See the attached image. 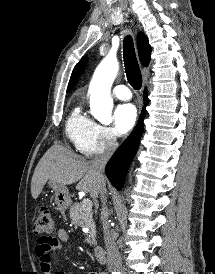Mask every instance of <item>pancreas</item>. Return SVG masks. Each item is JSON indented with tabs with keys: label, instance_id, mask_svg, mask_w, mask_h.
<instances>
[{
	"label": "pancreas",
	"instance_id": "1",
	"mask_svg": "<svg viewBox=\"0 0 215 274\" xmlns=\"http://www.w3.org/2000/svg\"><path fill=\"white\" fill-rule=\"evenodd\" d=\"M70 218L74 220L77 225L87 227L89 232L86 235V242L91 245H96V227L93 220V213L91 211L83 210L82 203H75L70 208Z\"/></svg>",
	"mask_w": 215,
	"mask_h": 274
}]
</instances>
